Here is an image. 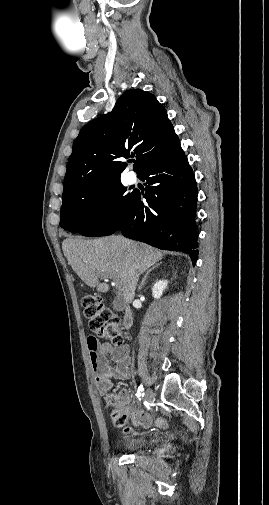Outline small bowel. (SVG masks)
<instances>
[{
    "instance_id": "1",
    "label": "small bowel",
    "mask_w": 269,
    "mask_h": 505,
    "mask_svg": "<svg viewBox=\"0 0 269 505\" xmlns=\"http://www.w3.org/2000/svg\"><path fill=\"white\" fill-rule=\"evenodd\" d=\"M87 347L90 361L95 376V383L98 392L101 395L106 394L112 388L111 379L127 380L130 377L129 372V347L127 345L113 346L109 342H99L93 337H88ZM109 357L114 365L109 363ZM117 404L123 409L125 415L130 417L134 425H143L148 427L151 424V418L145 414H139L133 405V400L129 392L125 389L120 390L116 396ZM164 419L157 421L160 427L166 426ZM125 432H131L130 427L124 429Z\"/></svg>"
}]
</instances>
